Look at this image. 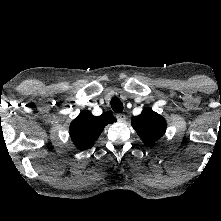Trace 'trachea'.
<instances>
[{"label": "trachea", "mask_w": 221, "mask_h": 221, "mask_svg": "<svg viewBox=\"0 0 221 221\" xmlns=\"http://www.w3.org/2000/svg\"><path fill=\"white\" fill-rule=\"evenodd\" d=\"M112 110L116 113H121L123 111V104L118 97H113L111 99Z\"/></svg>", "instance_id": "trachea-1"}]
</instances>
